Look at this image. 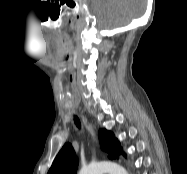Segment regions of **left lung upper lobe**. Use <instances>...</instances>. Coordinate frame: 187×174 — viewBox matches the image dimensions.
Segmentation results:
<instances>
[{
  "instance_id": "obj_1",
  "label": "left lung upper lobe",
  "mask_w": 187,
  "mask_h": 174,
  "mask_svg": "<svg viewBox=\"0 0 187 174\" xmlns=\"http://www.w3.org/2000/svg\"><path fill=\"white\" fill-rule=\"evenodd\" d=\"M99 140L101 148L109 153V158H116L122 154L123 148L114 134L102 129L99 131ZM125 156V153L123 154ZM78 160L71 144L67 143L56 156L48 174H76Z\"/></svg>"
}]
</instances>
